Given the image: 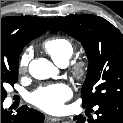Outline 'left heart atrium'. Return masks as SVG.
Masks as SVG:
<instances>
[{
    "instance_id": "left-heart-atrium-1",
    "label": "left heart atrium",
    "mask_w": 123,
    "mask_h": 123,
    "mask_svg": "<svg viewBox=\"0 0 123 123\" xmlns=\"http://www.w3.org/2000/svg\"><path fill=\"white\" fill-rule=\"evenodd\" d=\"M72 95L64 83L46 85L35 90L29 97L30 103L47 112H57Z\"/></svg>"
}]
</instances>
